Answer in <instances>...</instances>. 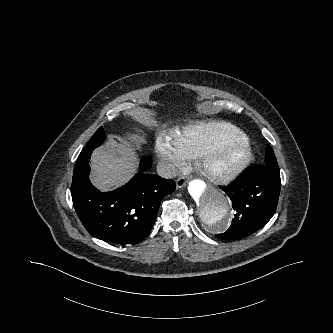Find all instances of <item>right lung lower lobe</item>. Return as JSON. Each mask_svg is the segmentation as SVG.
<instances>
[{
  "mask_svg": "<svg viewBox=\"0 0 333 333\" xmlns=\"http://www.w3.org/2000/svg\"><path fill=\"white\" fill-rule=\"evenodd\" d=\"M93 148H84L73 173L71 195L76 213L94 237L126 245L142 241L154 226L164 196L175 190L173 180L139 172L126 185L102 193L89 181V159ZM152 160H141L140 169L151 167Z\"/></svg>",
  "mask_w": 333,
  "mask_h": 333,
  "instance_id": "98d812e1",
  "label": "right lung lower lobe"
}]
</instances>
